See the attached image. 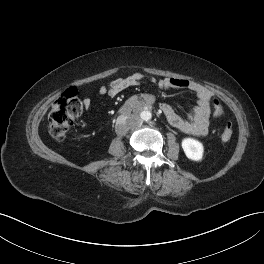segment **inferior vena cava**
<instances>
[{
  "label": "inferior vena cava",
  "mask_w": 264,
  "mask_h": 264,
  "mask_svg": "<svg viewBox=\"0 0 264 264\" xmlns=\"http://www.w3.org/2000/svg\"><path fill=\"white\" fill-rule=\"evenodd\" d=\"M126 121H127V118H126V116H124V115H121V116H119V117L116 119V122H117L119 125H122V124L126 123Z\"/></svg>",
  "instance_id": "1"
}]
</instances>
